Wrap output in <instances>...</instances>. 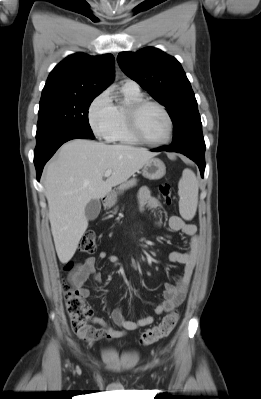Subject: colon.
<instances>
[{"label":"colon","mask_w":261,"mask_h":399,"mask_svg":"<svg viewBox=\"0 0 261 399\" xmlns=\"http://www.w3.org/2000/svg\"><path fill=\"white\" fill-rule=\"evenodd\" d=\"M160 194L167 205L172 202L171 186L162 183L159 187ZM96 249V236L92 232L85 233L78 244V250L82 253H93ZM66 311L71 321L73 331L79 337H86L88 333V323L93 315L92 308L83 301L79 291L67 285L64 287ZM179 319L177 311L167 314L159 324L146 330L140 337L141 345H151L167 337L175 328Z\"/></svg>","instance_id":"1"}]
</instances>
